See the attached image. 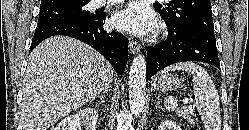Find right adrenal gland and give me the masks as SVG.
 I'll return each mask as SVG.
<instances>
[{"instance_id": "2a0ac1e0", "label": "right adrenal gland", "mask_w": 249, "mask_h": 130, "mask_svg": "<svg viewBox=\"0 0 249 130\" xmlns=\"http://www.w3.org/2000/svg\"><path fill=\"white\" fill-rule=\"evenodd\" d=\"M108 93V90H104L98 98L101 100L102 103H104V96Z\"/></svg>"}]
</instances>
